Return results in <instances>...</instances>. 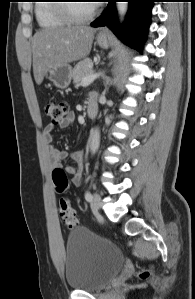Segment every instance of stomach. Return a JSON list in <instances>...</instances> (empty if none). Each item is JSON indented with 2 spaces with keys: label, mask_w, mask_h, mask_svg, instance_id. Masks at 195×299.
Listing matches in <instances>:
<instances>
[{
  "label": "stomach",
  "mask_w": 195,
  "mask_h": 299,
  "mask_svg": "<svg viewBox=\"0 0 195 299\" xmlns=\"http://www.w3.org/2000/svg\"><path fill=\"white\" fill-rule=\"evenodd\" d=\"M97 42L99 46L104 49L108 48L110 44L109 39L101 35H98ZM44 76L56 87L65 89L70 85L72 79V68L70 65L50 67L46 70Z\"/></svg>",
  "instance_id": "1"
}]
</instances>
